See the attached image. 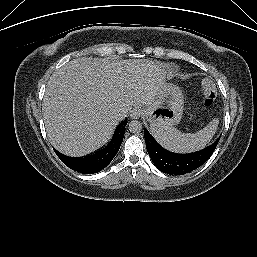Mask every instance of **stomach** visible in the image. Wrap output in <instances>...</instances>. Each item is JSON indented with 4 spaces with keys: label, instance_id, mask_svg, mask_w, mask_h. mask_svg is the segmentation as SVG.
<instances>
[{
    "label": "stomach",
    "instance_id": "obj_1",
    "mask_svg": "<svg viewBox=\"0 0 257 257\" xmlns=\"http://www.w3.org/2000/svg\"><path fill=\"white\" fill-rule=\"evenodd\" d=\"M184 95L174 84L164 83L155 101L147 107L144 116L151 128H167L177 125L183 114Z\"/></svg>",
    "mask_w": 257,
    "mask_h": 257
}]
</instances>
